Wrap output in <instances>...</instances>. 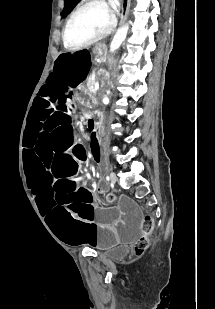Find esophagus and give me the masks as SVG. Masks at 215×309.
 I'll use <instances>...</instances> for the list:
<instances>
[{
  "label": "esophagus",
  "mask_w": 215,
  "mask_h": 309,
  "mask_svg": "<svg viewBox=\"0 0 215 309\" xmlns=\"http://www.w3.org/2000/svg\"><path fill=\"white\" fill-rule=\"evenodd\" d=\"M130 6V0H122V13L120 22L123 23L126 20L128 10Z\"/></svg>",
  "instance_id": "obj_1"
}]
</instances>
